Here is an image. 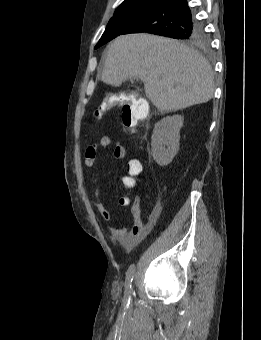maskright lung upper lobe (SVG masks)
<instances>
[{
    "instance_id": "obj_1",
    "label": "right lung upper lobe",
    "mask_w": 261,
    "mask_h": 340,
    "mask_svg": "<svg viewBox=\"0 0 261 340\" xmlns=\"http://www.w3.org/2000/svg\"><path fill=\"white\" fill-rule=\"evenodd\" d=\"M157 2V3H159L161 0H125L123 3H122V5L123 4H129V3H135V2Z\"/></svg>"
}]
</instances>
